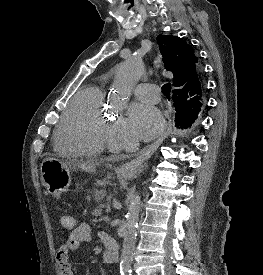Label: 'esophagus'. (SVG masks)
I'll return each mask as SVG.
<instances>
[{"instance_id":"obj_1","label":"esophagus","mask_w":263,"mask_h":275,"mask_svg":"<svg viewBox=\"0 0 263 275\" xmlns=\"http://www.w3.org/2000/svg\"><path fill=\"white\" fill-rule=\"evenodd\" d=\"M168 123L165 124L164 131L160 134V136L149 144L147 147L143 149L141 154L131 161L124 163L120 168L119 172L127 177H131L137 173V171L142 167L143 163L148 160L154 152L158 149V147L163 142L165 136L167 135Z\"/></svg>"}]
</instances>
